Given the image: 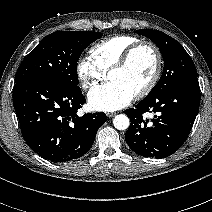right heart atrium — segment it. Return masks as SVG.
<instances>
[{"mask_svg":"<svg viewBox=\"0 0 212 212\" xmlns=\"http://www.w3.org/2000/svg\"><path fill=\"white\" fill-rule=\"evenodd\" d=\"M76 74L84 90H90L106 78V73L88 57H82L77 61Z\"/></svg>","mask_w":212,"mask_h":212,"instance_id":"obj_1","label":"right heart atrium"}]
</instances>
